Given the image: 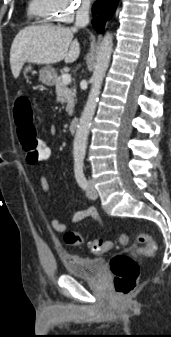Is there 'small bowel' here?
Instances as JSON below:
<instances>
[{"instance_id":"small-bowel-1","label":"small bowel","mask_w":171,"mask_h":337,"mask_svg":"<svg viewBox=\"0 0 171 337\" xmlns=\"http://www.w3.org/2000/svg\"><path fill=\"white\" fill-rule=\"evenodd\" d=\"M51 133H54L53 128L51 129ZM39 183H40L42 191L47 193L50 189V186H49L48 179L45 175H41L39 177ZM86 218H90V219H93V220H96V221H100V216L97 213V211L94 208H88V209H85V210L75 211L73 213L71 219H70L69 224L63 223L56 218L52 219L51 220V227L56 232L64 233V232L68 231L70 225L77 224V223L81 222L82 220H84Z\"/></svg>"}]
</instances>
